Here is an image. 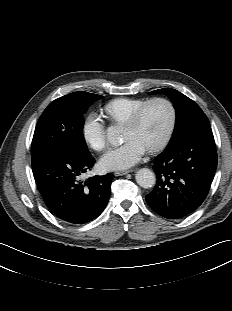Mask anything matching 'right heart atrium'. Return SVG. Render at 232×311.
Returning <instances> with one entry per match:
<instances>
[{"mask_svg":"<svg viewBox=\"0 0 232 311\" xmlns=\"http://www.w3.org/2000/svg\"><path fill=\"white\" fill-rule=\"evenodd\" d=\"M82 134L85 142L95 151H102L107 146L106 129L101 118L92 113L83 123Z\"/></svg>","mask_w":232,"mask_h":311,"instance_id":"1","label":"right heart atrium"}]
</instances>
